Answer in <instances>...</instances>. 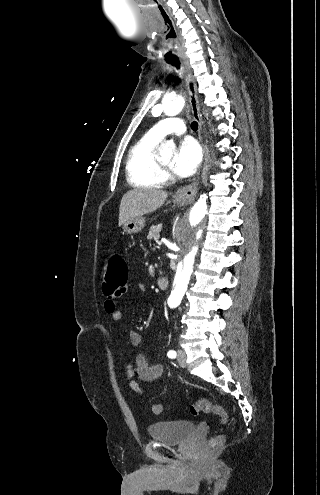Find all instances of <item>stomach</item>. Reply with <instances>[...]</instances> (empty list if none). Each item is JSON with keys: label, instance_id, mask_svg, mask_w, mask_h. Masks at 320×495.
Wrapping results in <instances>:
<instances>
[{"label": "stomach", "instance_id": "0dacf381", "mask_svg": "<svg viewBox=\"0 0 320 495\" xmlns=\"http://www.w3.org/2000/svg\"><path fill=\"white\" fill-rule=\"evenodd\" d=\"M174 202L179 206H182L185 204V202H183L179 199H175ZM144 226H145V218L142 216H138V217H135V218H132V219H129L128 221H126L123 224V230L127 234H135V233L140 232L144 228Z\"/></svg>", "mask_w": 320, "mask_h": 495}]
</instances>
